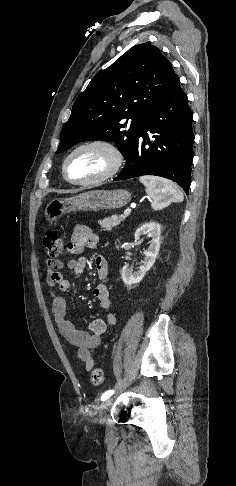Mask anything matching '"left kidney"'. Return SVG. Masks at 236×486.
I'll use <instances>...</instances> for the list:
<instances>
[{
    "label": "left kidney",
    "mask_w": 236,
    "mask_h": 486,
    "mask_svg": "<svg viewBox=\"0 0 236 486\" xmlns=\"http://www.w3.org/2000/svg\"><path fill=\"white\" fill-rule=\"evenodd\" d=\"M160 233L161 226L154 221L145 223L136 230L134 235L136 240L145 234L150 236L152 239L150 241L149 248L144 251V260L137 271H133L128 267V265L123 266L121 276L125 285L131 286L139 283L144 278L146 272L149 271L154 265L160 249Z\"/></svg>",
    "instance_id": "1"
}]
</instances>
